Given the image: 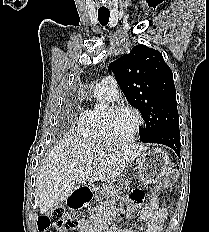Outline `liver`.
<instances>
[{
	"instance_id": "6515ba94",
	"label": "liver",
	"mask_w": 209,
	"mask_h": 232,
	"mask_svg": "<svg viewBox=\"0 0 209 232\" xmlns=\"http://www.w3.org/2000/svg\"><path fill=\"white\" fill-rule=\"evenodd\" d=\"M146 147L136 143H101L67 136L49 152L37 178L40 212L46 213L90 179L110 181ZM98 161V166L92 162Z\"/></svg>"
}]
</instances>
